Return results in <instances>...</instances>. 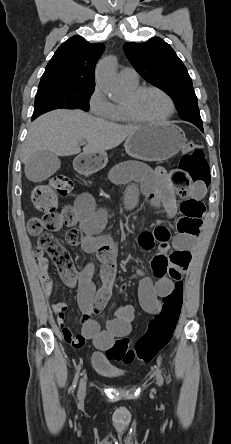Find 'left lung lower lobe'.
Segmentation results:
<instances>
[{"mask_svg": "<svg viewBox=\"0 0 231 444\" xmlns=\"http://www.w3.org/2000/svg\"><path fill=\"white\" fill-rule=\"evenodd\" d=\"M201 131H203V126L202 125H196Z\"/></svg>", "mask_w": 231, "mask_h": 444, "instance_id": "1", "label": "left lung lower lobe"}]
</instances>
